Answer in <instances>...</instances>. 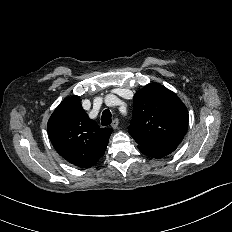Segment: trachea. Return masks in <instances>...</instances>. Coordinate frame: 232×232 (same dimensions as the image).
Returning a JSON list of instances; mask_svg holds the SVG:
<instances>
[{
  "instance_id": "obj_1",
  "label": "trachea",
  "mask_w": 232,
  "mask_h": 232,
  "mask_svg": "<svg viewBox=\"0 0 232 232\" xmlns=\"http://www.w3.org/2000/svg\"><path fill=\"white\" fill-rule=\"evenodd\" d=\"M112 121V115L110 110L106 109L103 111L102 116H101V123L103 126H108L111 124Z\"/></svg>"
}]
</instances>
